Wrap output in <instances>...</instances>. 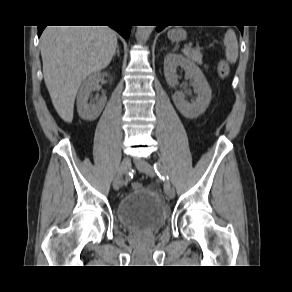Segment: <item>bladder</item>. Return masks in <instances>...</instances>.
Masks as SVG:
<instances>
[{"mask_svg":"<svg viewBox=\"0 0 292 292\" xmlns=\"http://www.w3.org/2000/svg\"><path fill=\"white\" fill-rule=\"evenodd\" d=\"M169 216V209L160 193L152 187L128 192L117 205V219L127 230L154 233L161 229Z\"/></svg>","mask_w":292,"mask_h":292,"instance_id":"obj_1","label":"bladder"}]
</instances>
